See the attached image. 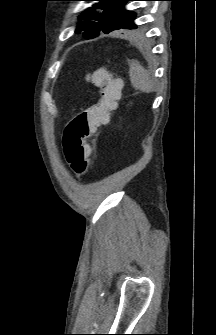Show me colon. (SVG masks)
I'll return each instance as SVG.
<instances>
[{
    "label": "colon",
    "instance_id": "obj_1",
    "mask_svg": "<svg viewBox=\"0 0 216 335\" xmlns=\"http://www.w3.org/2000/svg\"><path fill=\"white\" fill-rule=\"evenodd\" d=\"M92 81L101 88L97 103L78 112L64 128L61 143L64 157L78 175L85 174L91 164V147L86 140L97 128L108 123L111 113L117 108L123 80L115 78L101 68L92 74Z\"/></svg>",
    "mask_w": 216,
    "mask_h": 335
}]
</instances>
